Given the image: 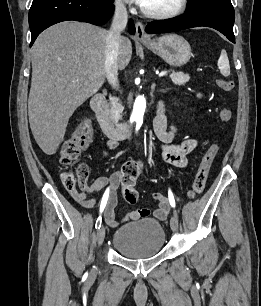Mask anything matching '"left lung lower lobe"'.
I'll return each mask as SVG.
<instances>
[{
  "label": "left lung lower lobe",
  "mask_w": 261,
  "mask_h": 306,
  "mask_svg": "<svg viewBox=\"0 0 261 306\" xmlns=\"http://www.w3.org/2000/svg\"><path fill=\"white\" fill-rule=\"evenodd\" d=\"M235 13L232 4L217 7L203 8L197 11H186L181 16L153 21L145 30L147 33H167L192 27H211L224 34L231 42L235 43L233 24Z\"/></svg>",
  "instance_id": "left-lung-lower-lobe-1"
}]
</instances>
